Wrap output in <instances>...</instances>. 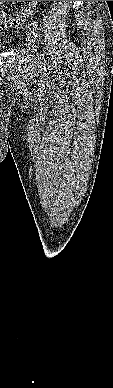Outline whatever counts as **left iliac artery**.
<instances>
[{"mask_svg":"<svg viewBox=\"0 0 113 388\" xmlns=\"http://www.w3.org/2000/svg\"><path fill=\"white\" fill-rule=\"evenodd\" d=\"M30 30H31L32 34L34 35L35 39L38 40V38H39V26H38V23L36 21L31 22Z\"/></svg>","mask_w":113,"mask_h":388,"instance_id":"1","label":"left iliac artery"}]
</instances>
